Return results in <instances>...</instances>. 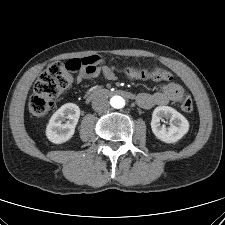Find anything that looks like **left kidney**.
<instances>
[{"label": "left kidney", "instance_id": "obj_1", "mask_svg": "<svg viewBox=\"0 0 225 225\" xmlns=\"http://www.w3.org/2000/svg\"><path fill=\"white\" fill-rule=\"evenodd\" d=\"M163 117L170 119V126L161 125ZM151 128L154 135L165 143L180 140L189 130L188 120L174 108L169 106L156 107L152 114Z\"/></svg>", "mask_w": 225, "mask_h": 225}]
</instances>
